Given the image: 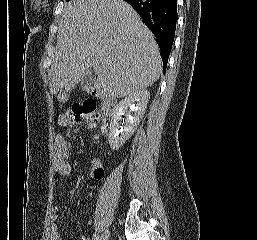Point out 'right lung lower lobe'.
<instances>
[{"instance_id":"obj_1","label":"right lung lower lobe","mask_w":257,"mask_h":240,"mask_svg":"<svg viewBox=\"0 0 257 240\" xmlns=\"http://www.w3.org/2000/svg\"><path fill=\"white\" fill-rule=\"evenodd\" d=\"M157 38L166 69L177 23V0H125Z\"/></svg>"}]
</instances>
